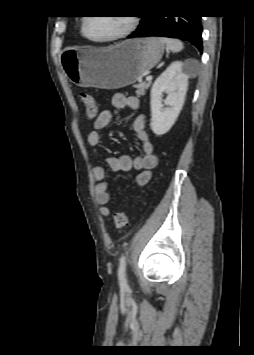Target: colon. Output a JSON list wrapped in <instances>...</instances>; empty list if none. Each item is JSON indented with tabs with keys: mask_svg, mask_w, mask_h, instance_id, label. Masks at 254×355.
I'll use <instances>...</instances> for the list:
<instances>
[{
	"mask_svg": "<svg viewBox=\"0 0 254 355\" xmlns=\"http://www.w3.org/2000/svg\"><path fill=\"white\" fill-rule=\"evenodd\" d=\"M79 98L88 118H95L98 113L96 100L87 93H81ZM113 222L117 229L125 228L128 224L127 213L125 211L116 212L113 216Z\"/></svg>",
	"mask_w": 254,
	"mask_h": 355,
	"instance_id": "colon-1",
	"label": "colon"
}]
</instances>
